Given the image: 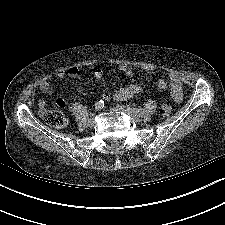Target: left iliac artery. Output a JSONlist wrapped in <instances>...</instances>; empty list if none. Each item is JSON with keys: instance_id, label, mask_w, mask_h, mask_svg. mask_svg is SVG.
Returning a JSON list of instances; mask_svg holds the SVG:
<instances>
[{"instance_id": "1", "label": "left iliac artery", "mask_w": 225, "mask_h": 225, "mask_svg": "<svg viewBox=\"0 0 225 225\" xmlns=\"http://www.w3.org/2000/svg\"><path fill=\"white\" fill-rule=\"evenodd\" d=\"M130 110H131V112L132 113H134V114H138V115H140V114H142V109H140V108H130V107H128Z\"/></svg>"}]
</instances>
